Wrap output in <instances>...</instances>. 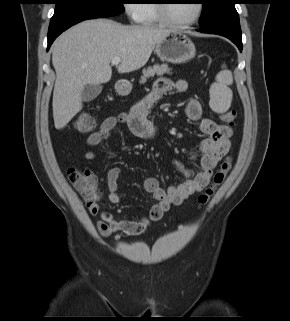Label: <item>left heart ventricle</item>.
Masks as SVG:
<instances>
[{"mask_svg": "<svg viewBox=\"0 0 290 321\" xmlns=\"http://www.w3.org/2000/svg\"><path fill=\"white\" fill-rule=\"evenodd\" d=\"M195 0H173L168 3V15L177 22H185L192 19L196 13Z\"/></svg>", "mask_w": 290, "mask_h": 321, "instance_id": "obj_1", "label": "left heart ventricle"}]
</instances>
